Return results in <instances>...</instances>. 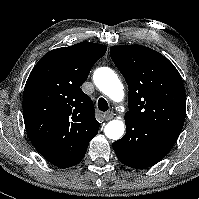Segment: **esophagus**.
I'll list each match as a JSON object with an SVG mask.
<instances>
[{"instance_id":"34e87169","label":"esophagus","mask_w":199,"mask_h":199,"mask_svg":"<svg viewBox=\"0 0 199 199\" xmlns=\"http://www.w3.org/2000/svg\"><path fill=\"white\" fill-rule=\"evenodd\" d=\"M113 118V113L112 112H107L104 114V119L106 121L111 120Z\"/></svg>"}]
</instances>
